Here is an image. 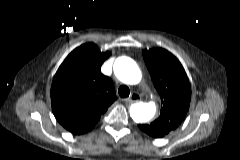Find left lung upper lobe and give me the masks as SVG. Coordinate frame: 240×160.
<instances>
[{"label":"left lung upper lobe","mask_w":240,"mask_h":160,"mask_svg":"<svg viewBox=\"0 0 240 160\" xmlns=\"http://www.w3.org/2000/svg\"><path fill=\"white\" fill-rule=\"evenodd\" d=\"M143 57L163 105L160 116L149 125L168 134L181 124L187 114L191 86L183 66L167 50H143Z\"/></svg>","instance_id":"obj_1"}]
</instances>
